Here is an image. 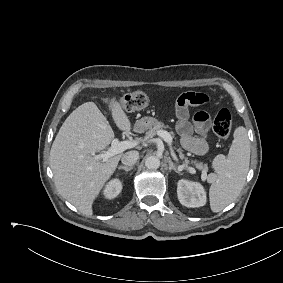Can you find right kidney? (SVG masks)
<instances>
[{"label":"right kidney","instance_id":"1","mask_svg":"<svg viewBox=\"0 0 283 283\" xmlns=\"http://www.w3.org/2000/svg\"><path fill=\"white\" fill-rule=\"evenodd\" d=\"M121 190H122V184L120 180L113 179L107 184L104 190V196L108 199H113L119 195Z\"/></svg>","mask_w":283,"mask_h":283}]
</instances>
